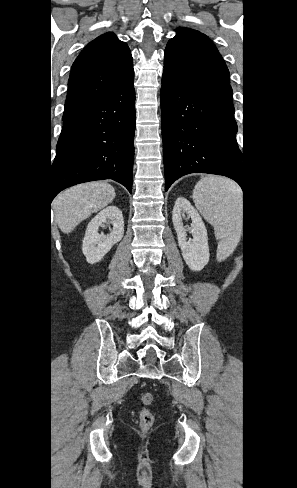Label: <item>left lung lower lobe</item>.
<instances>
[{
	"label": "left lung lower lobe",
	"instance_id": "0a47b994",
	"mask_svg": "<svg viewBox=\"0 0 297 488\" xmlns=\"http://www.w3.org/2000/svg\"><path fill=\"white\" fill-rule=\"evenodd\" d=\"M161 123L165 190L190 173L227 176L245 187L234 112L163 72Z\"/></svg>",
	"mask_w": 297,
	"mask_h": 488
}]
</instances>
